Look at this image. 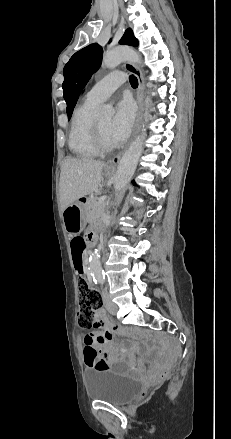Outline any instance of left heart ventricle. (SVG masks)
I'll list each match as a JSON object with an SVG mask.
<instances>
[{"mask_svg":"<svg viewBox=\"0 0 231 439\" xmlns=\"http://www.w3.org/2000/svg\"><path fill=\"white\" fill-rule=\"evenodd\" d=\"M103 138L105 140L106 143H108L109 145H114L111 137H110V124H111V118L110 117H102V118H98L97 119Z\"/></svg>","mask_w":231,"mask_h":439,"instance_id":"obj_1","label":"left heart ventricle"}]
</instances>
